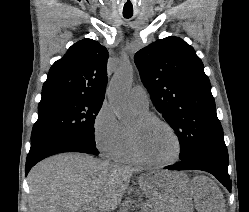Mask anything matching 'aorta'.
<instances>
[{"mask_svg": "<svg viewBox=\"0 0 249 212\" xmlns=\"http://www.w3.org/2000/svg\"><path fill=\"white\" fill-rule=\"evenodd\" d=\"M133 80V67L130 62L122 63L114 73L108 90V100L119 120H127L132 116L128 95Z\"/></svg>", "mask_w": 249, "mask_h": 212, "instance_id": "aorta-1", "label": "aorta"}]
</instances>
